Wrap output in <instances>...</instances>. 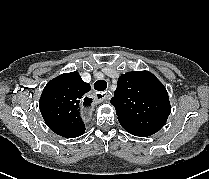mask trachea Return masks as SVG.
<instances>
[{
    "instance_id": "1",
    "label": "trachea",
    "mask_w": 209,
    "mask_h": 179,
    "mask_svg": "<svg viewBox=\"0 0 209 179\" xmlns=\"http://www.w3.org/2000/svg\"><path fill=\"white\" fill-rule=\"evenodd\" d=\"M107 88V82L104 80H98L94 83V89L97 91H104Z\"/></svg>"
}]
</instances>
